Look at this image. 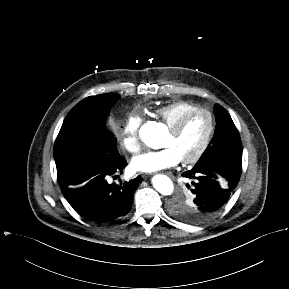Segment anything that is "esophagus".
<instances>
[{
    "label": "esophagus",
    "instance_id": "obj_1",
    "mask_svg": "<svg viewBox=\"0 0 289 289\" xmlns=\"http://www.w3.org/2000/svg\"><path fill=\"white\" fill-rule=\"evenodd\" d=\"M168 176L173 177V175L171 173H167Z\"/></svg>",
    "mask_w": 289,
    "mask_h": 289
}]
</instances>
